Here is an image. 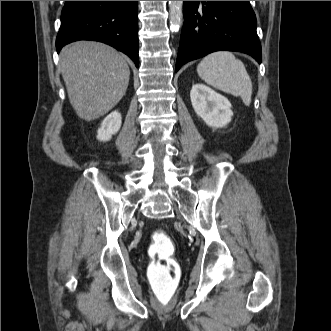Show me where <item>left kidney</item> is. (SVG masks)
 <instances>
[{
	"label": "left kidney",
	"instance_id": "obj_1",
	"mask_svg": "<svg viewBox=\"0 0 331 331\" xmlns=\"http://www.w3.org/2000/svg\"><path fill=\"white\" fill-rule=\"evenodd\" d=\"M192 106L196 114L210 127H225L233 116L231 103L204 84H195L190 91Z\"/></svg>",
	"mask_w": 331,
	"mask_h": 331
}]
</instances>
